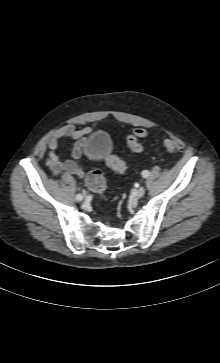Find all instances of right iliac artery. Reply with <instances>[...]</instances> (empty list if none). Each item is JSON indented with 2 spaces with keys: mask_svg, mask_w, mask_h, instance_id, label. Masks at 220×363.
<instances>
[{
  "mask_svg": "<svg viewBox=\"0 0 220 363\" xmlns=\"http://www.w3.org/2000/svg\"><path fill=\"white\" fill-rule=\"evenodd\" d=\"M83 199V197H82V195L81 194H78L77 196H76V200L77 201H81Z\"/></svg>",
  "mask_w": 220,
  "mask_h": 363,
  "instance_id": "obj_1",
  "label": "right iliac artery"
}]
</instances>
